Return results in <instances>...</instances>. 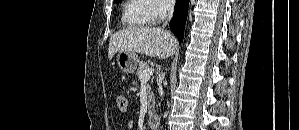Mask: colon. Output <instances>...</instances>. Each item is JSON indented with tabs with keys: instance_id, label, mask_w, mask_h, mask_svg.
I'll return each mask as SVG.
<instances>
[{
	"instance_id": "1",
	"label": "colon",
	"mask_w": 299,
	"mask_h": 130,
	"mask_svg": "<svg viewBox=\"0 0 299 130\" xmlns=\"http://www.w3.org/2000/svg\"><path fill=\"white\" fill-rule=\"evenodd\" d=\"M117 106L121 111H126L128 108V100L125 96L120 95L116 99Z\"/></svg>"
}]
</instances>
